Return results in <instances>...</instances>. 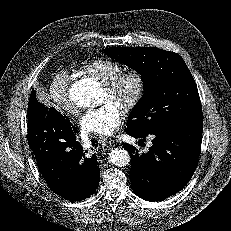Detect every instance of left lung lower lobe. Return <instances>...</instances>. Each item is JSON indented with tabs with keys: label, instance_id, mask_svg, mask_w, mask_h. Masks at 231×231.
<instances>
[{
	"label": "left lung lower lobe",
	"instance_id": "1",
	"mask_svg": "<svg viewBox=\"0 0 231 231\" xmlns=\"http://www.w3.org/2000/svg\"><path fill=\"white\" fill-rule=\"evenodd\" d=\"M125 131L141 141L148 135L154 137L147 153L139 154L134 146L123 144L131 156L130 181L137 196L160 201L189 182L198 165L203 124L151 133Z\"/></svg>",
	"mask_w": 231,
	"mask_h": 231
}]
</instances>
